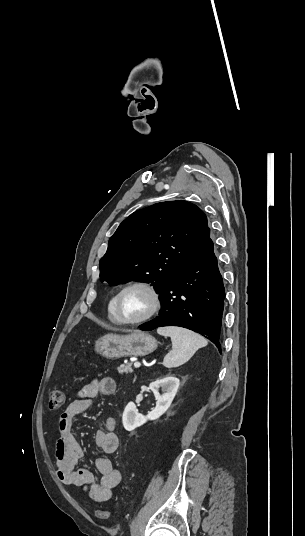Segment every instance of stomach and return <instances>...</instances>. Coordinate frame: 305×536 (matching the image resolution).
<instances>
[{"label":"stomach","mask_w":305,"mask_h":536,"mask_svg":"<svg viewBox=\"0 0 305 536\" xmlns=\"http://www.w3.org/2000/svg\"><path fill=\"white\" fill-rule=\"evenodd\" d=\"M158 348V342L146 332H133L129 336L106 334L95 342V352L108 360L123 356H147Z\"/></svg>","instance_id":"obj_1"}]
</instances>
